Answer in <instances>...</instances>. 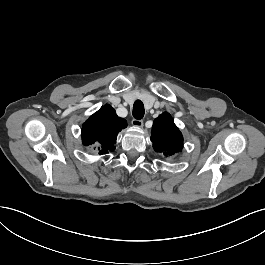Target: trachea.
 I'll list each match as a JSON object with an SVG mask.
<instances>
[{
    "mask_svg": "<svg viewBox=\"0 0 265 265\" xmlns=\"http://www.w3.org/2000/svg\"><path fill=\"white\" fill-rule=\"evenodd\" d=\"M145 109L140 100L135 101L133 105V117L137 120H141L144 117Z\"/></svg>",
    "mask_w": 265,
    "mask_h": 265,
    "instance_id": "1",
    "label": "trachea"
}]
</instances>
